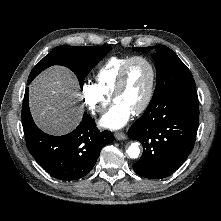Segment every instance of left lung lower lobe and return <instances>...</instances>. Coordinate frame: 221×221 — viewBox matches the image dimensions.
<instances>
[{"label": "left lung lower lobe", "instance_id": "obj_1", "mask_svg": "<svg viewBox=\"0 0 221 221\" xmlns=\"http://www.w3.org/2000/svg\"><path fill=\"white\" fill-rule=\"evenodd\" d=\"M198 121L196 88L149 103L128 130V136L143 146L141 158L133 165L134 171L151 179H162L175 172L195 144Z\"/></svg>", "mask_w": 221, "mask_h": 221}]
</instances>
